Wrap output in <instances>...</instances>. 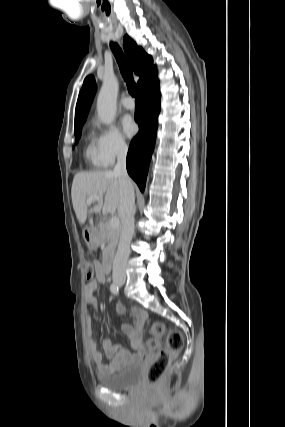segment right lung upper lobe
Wrapping results in <instances>:
<instances>
[{
  "instance_id": "right-lung-upper-lobe-1",
  "label": "right lung upper lobe",
  "mask_w": 285,
  "mask_h": 427,
  "mask_svg": "<svg viewBox=\"0 0 285 427\" xmlns=\"http://www.w3.org/2000/svg\"><path fill=\"white\" fill-rule=\"evenodd\" d=\"M123 46L131 67L135 74L140 77L138 81V88H140L149 78L157 74L156 67L153 66V59L141 47H138L128 35L124 36ZM95 91L96 84L94 77L92 75L87 76L77 100L75 129L83 126Z\"/></svg>"
}]
</instances>
